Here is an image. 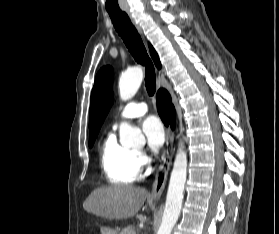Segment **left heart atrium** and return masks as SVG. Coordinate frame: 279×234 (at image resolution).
I'll list each match as a JSON object with an SVG mask.
<instances>
[{"instance_id":"39dd6f15","label":"left heart atrium","mask_w":279,"mask_h":234,"mask_svg":"<svg viewBox=\"0 0 279 234\" xmlns=\"http://www.w3.org/2000/svg\"><path fill=\"white\" fill-rule=\"evenodd\" d=\"M142 131L151 149H159L165 141V130L161 121L155 116H148L142 122Z\"/></svg>"}]
</instances>
